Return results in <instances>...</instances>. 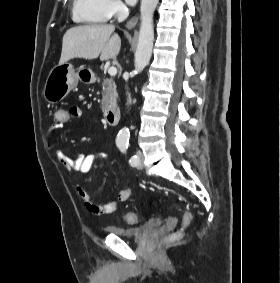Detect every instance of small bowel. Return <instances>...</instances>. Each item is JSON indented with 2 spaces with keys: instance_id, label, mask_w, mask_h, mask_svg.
<instances>
[{
  "instance_id": "1",
  "label": "small bowel",
  "mask_w": 280,
  "mask_h": 283,
  "mask_svg": "<svg viewBox=\"0 0 280 283\" xmlns=\"http://www.w3.org/2000/svg\"><path fill=\"white\" fill-rule=\"evenodd\" d=\"M73 114V119L82 120L83 112L78 107L69 108V113ZM64 125L58 122L54 125V129H61ZM48 149L56 157L60 165L70 173L85 174L100 160L103 159L102 154H75L73 157L66 155L59 146L52 140L47 142ZM76 191L83 200L85 209L93 215L103 216L114 212L120 202L126 201L132 194V187L127 186L121 190L117 197L105 204H96L91 199L90 194L79 184L76 185Z\"/></svg>"
}]
</instances>
